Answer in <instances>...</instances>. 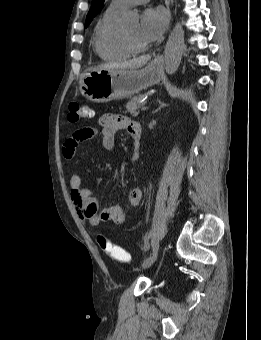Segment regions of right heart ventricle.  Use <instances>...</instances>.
Returning <instances> with one entry per match:
<instances>
[{
    "label": "right heart ventricle",
    "instance_id": "right-heart-ventricle-1",
    "mask_svg": "<svg viewBox=\"0 0 261 340\" xmlns=\"http://www.w3.org/2000/svg\"><path fill=\"white\" fill-rule=\"evenodd\" d=\"M120 13V10L109 6L96 26L93 48L103 61L123 60L133 54L123 40V31L119 25Z\"/></svg>",
    "mask_w": 261,
    "mask_h": 340
}]
</instances>
